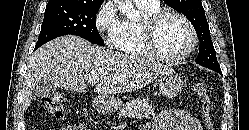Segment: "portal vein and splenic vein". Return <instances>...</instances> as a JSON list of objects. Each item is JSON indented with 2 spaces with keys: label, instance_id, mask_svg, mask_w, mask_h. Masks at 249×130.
<instances>
[{
  "label": "portal vein and splenic vein",
  "instance_id": "portal-vein-and-splenic-vein-1",
  "mask_svg": "<svg viewBox=\"0 0 249 130\" xmlns=\"http://www.w3.org/2000/svg\"><path fill=\"white\" fill-rule=\"evenodd\" d=\"M88 82L92 83V84H95L97 82L96 79H87Z\"/></svg>",
  "mask_w": 249,
  "mask_h": 130
}]
</instances>
